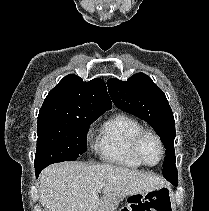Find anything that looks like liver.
I'll list each match as a JSON object with an SVG mask.
<instances>
[{
  "mask_svg": "<svg viewBox=\"0 0 209 211\" xmlns=\"http://www.w3.org/2000/svg\"><path fill=\"white\" fill-rule=\"evenodd\" d=\"M97 182L113 197L147 194L164 185L161 177L126 167L62 162L39 176L40 203L48 211H104Z\"/></svg>",
  "mask_w": 209,
  "mask_h": 211,
  "instance_id": "liver-1",
  "label": "liver"
}]
</instances>
